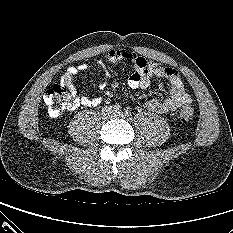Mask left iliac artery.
I'll list each match as a JSON object with an SVG mask.
<instances>
[{"label":"left iliac artery","mask_w":233,"mask_h":233,"mask_svg":"<svg viewBox=\"0 0 233 233\" xmlns=\"http://www.w3.org/2000/svg\"><path fill=\"white\" fill-rule=\"evenodd\" d=\"M124 116H125V117H130V116H131V112L128 111V110H126V111L124 112Z\"/></svg>","instance_id":"left-iliac-artery-1"}]
</instances>
